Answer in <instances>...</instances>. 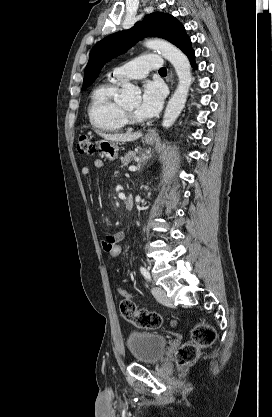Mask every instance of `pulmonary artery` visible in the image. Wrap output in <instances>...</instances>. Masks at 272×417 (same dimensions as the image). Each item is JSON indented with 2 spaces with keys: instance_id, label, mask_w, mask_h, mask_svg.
Wrapping results in <instances>:
<instances>
[{
  "instance_id": "pulmonary-artery-1",
  "label": "pulmonary artery",
  "mask_w": 272,
  "mask_h": 417,
  "mask_svg": "<svg viewBox=\"0 0 272 417\" xmlns=\"http://www.w3.org/2000/svg\"><path fill=\"white\" fill-rule=\"evenodd\" d=\"M160 68H162V59L159 55L145 54L115 68L112 71V78L117 81L142 79L150 70H157Z\"/></svg>"
}]
</instances>
